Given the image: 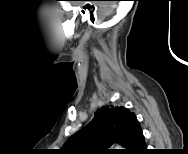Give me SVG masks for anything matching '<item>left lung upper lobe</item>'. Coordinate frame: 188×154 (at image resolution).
Segmentation results:
<instances>
[{
  "instance_id": "1",
  "label": "left lung upper lobe",
  "mask_w": 188,
  "mask_h": 154,
  "mask_svg": "<svg viewBox=\"0 0 188 154\" xmlns=\"http://www.w3.org/2000/svg\"><path fill=\"white\" fill-rule=\"evenodd\" d=\"M127 108L104 106L95 112L93 120L71 136L61 148L67 154H108L113 143L124 146L131 118Z\"/></svg>"
}]
</instances>
